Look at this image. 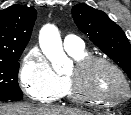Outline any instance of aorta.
I'll use <instances>...</instances> for the list:
<instances>
[{"label":"aorta","mask_w":131,"mask_h":115,"mask_svg":"<svg viewBox=\"0 0 131 115\" xmlns=\"http://www.w3.org/2000/svg\"><path fill=\"white\" fill-rule=\"evenodd\" d=\"M39 43L54 71L58 74L64 73L68 57L64 53L58 29L51 24L45 25L40 31Z\"/></svg>","instance_id":"obj_1"}]
</instances>
